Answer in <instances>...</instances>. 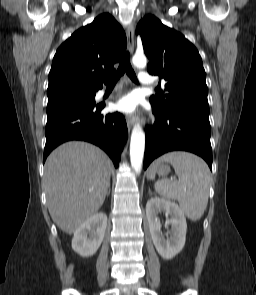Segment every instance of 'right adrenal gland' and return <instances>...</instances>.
Returning <instances> with one entry per match:
<instances>
[{
    "label": "right adrenal gland",
    "instance_id": "right-adrenal-gland-1",
    "mask_svg": "<svg viewBox=\"0 0 256 295\" xmlns=\"http://www.w3.org/2000/svg\"><path fill=\"white\" fill-rule=\"evenodd\" d=\"M110 194V188H109V190L107 191V195H109Z\"/></svg>",
    "mask_w": 256,
    "mask_h": 295
}]
</instances>
